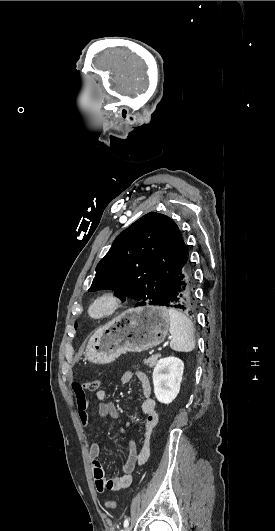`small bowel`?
Wrapping results in <instances>:
<instances>
[{"mask_svg": "<svg viewBox=\"0 0 275 531\" xmlns=\"http://www.w3.org/2000/svg\"><path fill=\"white\" fill-rule=\"evenodd\" d=\"M136 377L141 388L142 394V403H141V413L145 419V439L144 446L141 451L137 450L136 443L131 435L126 431H122L127 439V459L122 468V474L120 476L113 477L111 479H106L104 477V472L102 465L100 463L101 455V445L98 442L91 444L88 456L92 463V471L95 479L96 490L99 493L105 491H120L131 485L132 474L134 469L143 464L148 458V441L150 435L158 423L159 412L157 408V402L152 395V385L148 375L143 371L133 372L131 370L125 371L121 376V382L123 384H128L132 379ZM71 394L75 398H81L84 396V385L82 383H73L71 385ZM95 398L98 403V413L101 418L110 417L113 419L119 418V411L116 405L113 402L107 401V392L104 389L98 390L96 392ZM90 404V399L85 397V399H79L77 401V406L80 409L79 417L81 424L84 427H87L90 424V414L88 407Z\"/></svg>", "mask_w": 275, "mask_h": 531, "instance_id": "1", "label": "small bowel"}]
</instances>
